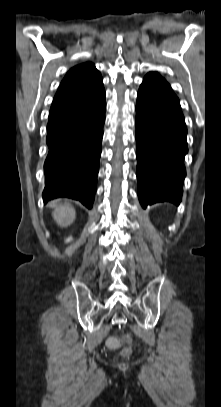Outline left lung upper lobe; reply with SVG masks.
Segmentation results:
<instances>
[{"instance_id":"obj_1","label":"left lung upper lobe","mask_w":221,"mask_h":407,"mask_svg":"<svg viewBox=\"0 0 221 407\" xmlns=\"http://www.w3.org/2000/svg\"><path fill=\"white\" fill-rule=\"evenodd\" d=\"M156 75H159V74L156 73V72H150V73H148L146 76H156Z\"/></svg>"}]
</instances>
